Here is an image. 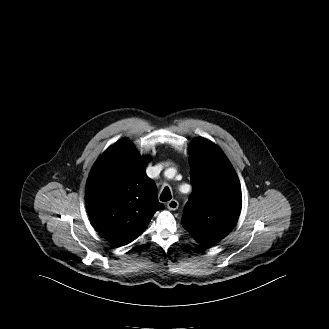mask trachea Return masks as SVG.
Instances as JSON below:
<instances>
[{
  "label": "trachea",
  "instance_id": "3493384b",
  "mask_svg": "<svg viewBox=\"0 0 329 329\" xmlns=\"http://www.w3.org/2000/svg\"><path fill=\"white\" fill-rule=\"evenodd\" d=\"M171 198H172V195H171L170 189L168 187H165L160 195V200L162 202H167V201L171 200Z\"/></svg>",
  "mask_w": 329,
  "mask_h": 329
}]
</instances>
